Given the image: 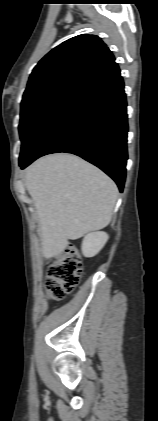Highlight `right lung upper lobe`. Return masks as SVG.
<instances>
[{"label":"right lung upper lobe","instance_id":"cb5924a9","mask_svg":"<svg viewBox=\"0 0 158 421\" xmlns=\"http://www.w3.org/2000/svg\"><path fill=\"white\" fill-rule=\"evenodd\" d=\"M108 47L95 35H78L51 50L33 69L24 95L60 83L83 84L114 63Z\"/></svg>","mask_w":158,"mask_h":421}]
</instances>
